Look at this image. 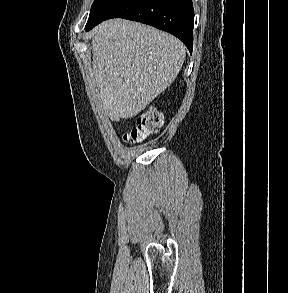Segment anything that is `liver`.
<instances>
[{
	"label": "liver",
	"mask_w": 288,
	"mask_h": 293,
	"mask_svg": "<svg viewBox=\"0 0 288 293\" xmlns=\"http://www.w3.org/2000/svg\"><path fill=\"white\" fill-rule=\"evenodd\" d=\"M92 35L95 83L112 121L144 110L175 80L186 56L179 39L138 22L111 19Z\"/></svg>",
	"instance_id": "obj_1"
}]
</instances>
